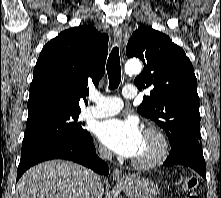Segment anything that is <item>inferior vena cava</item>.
Masks as SVG:
<instances>
[{
  "label": "inferior vena cava",
  "instance_id": "602c4592",
  "mask_svg": "<svg viewBox=\"0 0 221 198\" xmlns=\"http://www.w3.org/2000/svg\"><path fill=\"white\" fill-rule=\"evenodd\" d=\"M99 154L105 160L112 159V153L110 152V150L106 148H100ZM88 183H89V189L93 193L96 192L98 187L102 184L100 177L93 172H91L88 176Z\"/></svg>",
  "mask_w": 221,
  "mask_h": 198
}]
</instances>
